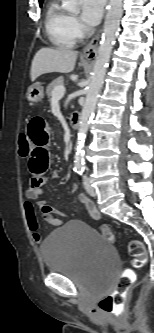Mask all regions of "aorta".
I'll return each mask as SVG.
<instances>
[{
	"label": "aorta",
	"instance_id": "obj_1",
	"mask_svg": "<svg viewBox=\"0 0 154 333\" xmlns=\"http://www.w3.org/2000/svg\"><path fill=\"white\" fill-rule=\"evenodd\" d=\"M122 5L123 0H110L109 2V9L106 14L102 39L96 54L91 80L87 89L85 103L80 116L74 161V167L77 170L84 169V144L86 134L90 122L94 116L99 92L101 90L106 74V68L110 59L117 31L120 27V20L123 13ZM63 7L65 10L72 13H78L80 11L79 0H63Z\"/></svg>",
	"mask_w": 154,
	"mask_h": 333
}]
</instances>
